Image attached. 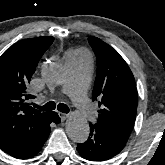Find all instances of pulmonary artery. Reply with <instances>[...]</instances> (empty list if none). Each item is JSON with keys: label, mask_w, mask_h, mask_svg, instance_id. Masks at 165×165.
<instances>
[{"label": "pulmonary artery", "mask_w": 165, "mask_h": 165, "mask_svg": "<svg viewBox=\"0 0 165 165\" xmlns=\"http://www.w3.org/2000/svg\"><path fill=\"white\" fill-rule=\"evenodd\" d=\"M65 64L68 78L63 91L72 98L81 114L91 121L94 119V112L86 97L90 74L89 58L81 53H70L65 58Z\"/></svg>", "instance_id": "e3ab8cb5"}]
</instances>
